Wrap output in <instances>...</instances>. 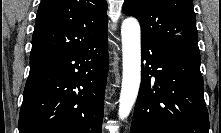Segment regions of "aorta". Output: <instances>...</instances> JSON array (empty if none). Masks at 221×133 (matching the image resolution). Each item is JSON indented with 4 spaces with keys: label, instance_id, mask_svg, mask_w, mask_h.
<instances>
[{
    "label": "aorta",
    "instance_id": "aorta-1",
    "mask_svg": "<svg viewBox=\"0 0 221 133\" xmlns=\"http://www.w3.org/2000/svg\"><path fill=\"white\" fill-rule=\"evenodd\" d=\"M123 79L118 115L125 119L136 101L141 82V30L135 18H127L121 27Z\"/></svg>",
    "mask_w": 221,
    "mask_h": 133
}]
</instances>
